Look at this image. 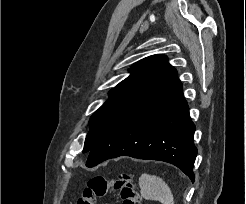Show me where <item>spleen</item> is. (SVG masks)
<instances>
[{
	"label": "spleen",
	"instance_id": "1",
	"mask_svg": "<svg viewBox=\"0 0 246 204\" xmlns=\"http://www.w3.org/2000/svg\"><path fill=\"white\" fill-rule=\"evenodd\" d=\"M139 186L141 195L146 200L159 201L162 204H175L172 191L162 178L143 173L139 178Z\"/></svg>",
	"mask_w": 246,
	"mask_h": 204
}]
</instances>
